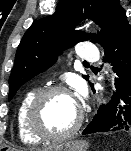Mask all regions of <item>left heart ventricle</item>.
Here are the masks:
<instances>
[{
    "label": "left heart ventricle",
    "mask_w": 131,
    "mask_h": 151,
    "mask_svg": "<svg viewBox=\"0 0 131 151\" xmlns=\"http://www.w3.org/2000/svg\"><path fill=\"white\" fill-rule=\"evenodd\" d=\"M78 110V104L72 97L62 93L51 95L41 109V126L49 133H62L74 124Z\"/></svg>",
    "instance_id": "obj_1"
}]
</instances>
